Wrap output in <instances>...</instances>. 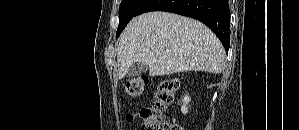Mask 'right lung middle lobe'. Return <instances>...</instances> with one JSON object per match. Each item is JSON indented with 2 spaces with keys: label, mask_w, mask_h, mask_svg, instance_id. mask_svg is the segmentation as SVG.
<instances>
[{
  "label": "right lung middle lobe",
  "mask_w": 299,
  "mask_h": 130,
  "mask_svg": "<svg viewBox=\"0 0 299 130\" xmlns=\"http://www.w3.org/2000/svg\"><path fill=\"white\" fill-rule=\"evenodd\" d=\"M147 0H122L119 7V26L116 32V37L126 27L128 22L136 16L137 11Z\"/></svg>",
  "instance_id": "1"
}]
</instances>
